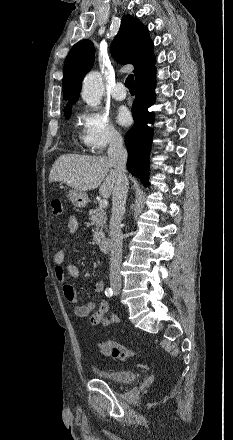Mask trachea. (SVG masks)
<instances>
[{"mask_svg": "<svg viewBox=\"0 0 233 440\" xmlns=\"http://www.w3.org/2000/svg\"><path fill=\"white\" fill-rule=\"evenodd\" d=\"M125 86L129 89L130 92H134V76L130 74L126 81Z\"/></svg>", "mask_w": 233, "mask_h": 440, "instance_id": "1", "label": "trachea"}]
</instances>
